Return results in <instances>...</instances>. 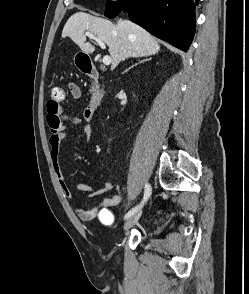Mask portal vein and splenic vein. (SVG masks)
Masks as SVG:
<instances>
[{
  "instance_id": "obj_1",
  "label": "portal vein and splenic vein",
  "mask_w": 249,
  "mask_h": 294,
  "mask_svg": "<svg viewBox=\"0 0 249 294\" xmlns=\"http://www.w3.org/2000/svg\"><path fill=\"white\" fill-rule=\"evenodd\" d=\"M86 35H87L89 38L94 39L95 41H97L98 44L100 45V47H101L102 49H105V48H106L105 43H104L101 39H99L98 37H96L95 35H93L92 33H90V32H86ZM111 61H112V60H111V57H110V56L105 55V56L103 57V63H104V65H110V64H111Z\"/></svg>"
}]
</instances>
